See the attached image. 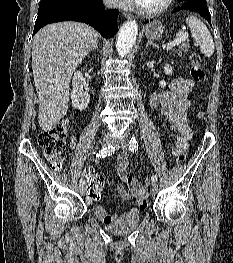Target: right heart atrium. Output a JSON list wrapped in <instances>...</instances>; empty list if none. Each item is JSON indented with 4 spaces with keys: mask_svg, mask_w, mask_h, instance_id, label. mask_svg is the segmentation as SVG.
<instances>
[{
    "mask_svg": "<svg viewBox=\"0 0 233 263\" xmlns=\"http://www.w3.org/2000/svg\"><path fill=\"white\" fill-rule=\"evenodd\" d=\"M107 5L111 7H123L124 6V0H104Z\"/></svg>",
    "mask_w": 233,
    "mask_h": 263,
    "instance_id": "obj_1",
    "label": "right heart atrium"
}]
</instances>
